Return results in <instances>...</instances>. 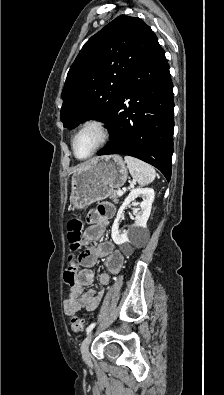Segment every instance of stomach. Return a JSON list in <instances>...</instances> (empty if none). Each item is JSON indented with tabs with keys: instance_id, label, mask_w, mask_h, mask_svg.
<instances>
[{
	"instance_id": "0dacf381",
	"label": "stomach",
	"mask_w": 224,
	"mask_h": 395,
	"mask_svg": "<svg viewBox=\"0 0 224 395\" xmlns=\"http://www.w3.org/2000/svg\"><path fill=\"white\" fill-rule=\"evenodd\" d=\"M127 176V166L119 155L92 159L72 175L70 202L73 209H83L106 199L124 185Z\"/></svg>"
}]
</instances>
